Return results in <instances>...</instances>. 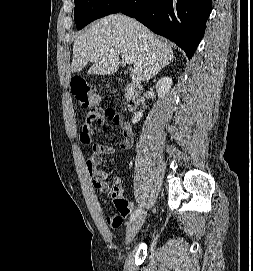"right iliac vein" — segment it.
<instances>
[{
	"label": "right iliac vein",
	"mask_w": 253,
	"mask_h": 271,
	"mask_svg": "<svg viewBox=\"0 0 253 271\" xmlns=\"http://www.w3.org/2000/svg\"><path fill=\"white\" fill-rule=\"evenodd\" d=\"M146 218V212L141 211L127 226L126 241L130 242L142 227Z\"/></svg>",
	"instance_id": "obj_1"
}]
</instances>
